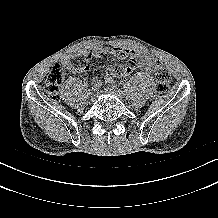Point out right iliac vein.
Here are the masks:
<instances>
[{
  "label": "right iliac vein",
  "instance_id": "right-iliac-vein-1",
  "mask_svg": "<svg viewBox=\"0 0 218 218\" xmlns=\"http://www.w3.org/2000/svg\"><path fill=\"white\" fill-rule=\"evenodd\" d=\"M97 96H98V91L91 92L90 94L91 101H94L97 98Z\"/></svg>",
  "mask_w": 218,
  "mask_h": 218
}]
</instances>
